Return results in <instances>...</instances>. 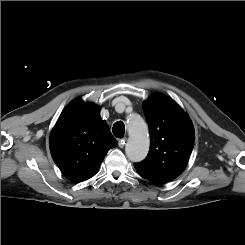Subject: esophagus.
<instances>
[{"label": "esophagus", "instance_id": "1", "mask_svg": "<svg viewBox=\"0 0 245 245\" xmlns=\"http://www.w3.org/2000/svg\"><path fill=\"white\" fill-rule=\"evenodd\" d=\"M126 142H127V138H126V137H125V138H122V139H120V140L118 141V146H119L120 148H123V147L125 146Z\"/></svg>", "mask_w": 245, "mask_h": 245}]
</instances>
